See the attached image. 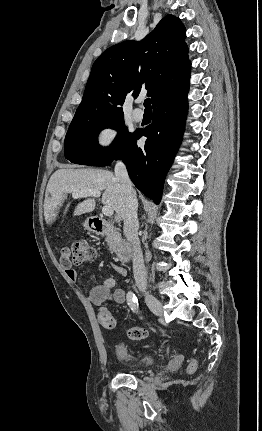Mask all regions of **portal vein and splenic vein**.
<instances>
[{"label":"portal vein and splenic vein","instance_id":"18ae733b","mask_svg":"<svg viewBox=\"0 0 262 431\" xmlns=\"http://www.w3.org/2000/svg\"><path fill=\"white\" fill-rule=\"evenodd\" d=\"M100 197L101 192L98 190H85V191H78V192H72L73 198H82V197ZM102 213L105 216H112L114 213V210L111 206H103Z\"/></svg>","mask_w":262,"mask_h":431}]
</instances>
